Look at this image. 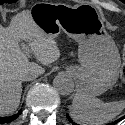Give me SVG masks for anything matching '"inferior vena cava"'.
Returning a JSON list of instances; mask_svg holds the SVG:
<instances>
[{
	"label": "inferior vena cava",
	"instance_id": "602c4592",
	"mask_svg": "<svg viewBox=\"0 0 125 125\" xmlns=\"http://www.w3.org/2000/svg\"><path fill=\"white\" fill-rule=\"evenodd\" d=\"M38 77V74L37 73H34V72H30V73H26L22 76V80L23 81H31V80H34Z\"/></svg>",
	"mask_w": 125,
	"mask_h": 125
}]
</instances>
